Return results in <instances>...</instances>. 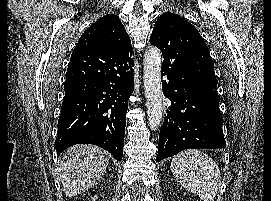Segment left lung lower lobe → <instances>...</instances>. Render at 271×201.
Instances as JSON below:
<instances>
[{
	"mask_svg": "<svg viewBox=\"0 0 271 201\" xmlns=\"http://www.w3.org/2000/svg\"><path fill=\"white\" fill-rule=\"evenodd\" d=\"M162 53V89L171 104L166 106L156 161L189 148H225L219 103L197 83L182 44L172 41Z\"/></svg>",
	"mask_w": 271,
	"mask_h": 201,
	"instance_id": "left-lung-lower-lobe-1",
	"label": "left lung lower lobe"
}]
</instances>
